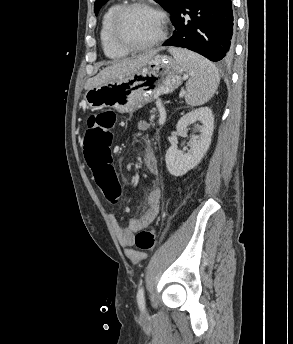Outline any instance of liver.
Returning a JSON list of instances; mask_svg holds the SVG:
<instances>
[{"mask_svg": "<svg viewBox=\"0 0 293 344\" xmlns=\"http://www.w3.org/2000/svg\"><path fill=\"white\" fill-rule=\"evenodd\" d=\"M155 54L156 51H151L133 59H124L113 62L111 65L102 69L96 76L89 78L85 84V89L89 90L129 76L146 65L149 59H151Z\"/></svg>", "mask_w": 293, "mask_h": 344, "instance_id": "obj_1", "label": "liver"}]
</instances>
